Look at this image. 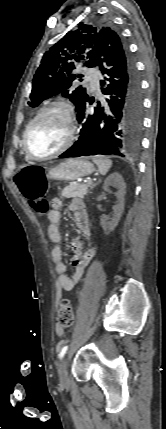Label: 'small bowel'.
Masks as SVG:
<instances>
[{"mask_svg": "<svg viewBox=\"0 0 166 429\" xmlns=\"http://www.w3.org/2000/svg\"><path fill=\"white\" fill-rule=\"evenodd\" d=\"M61 202L58 199L53 201V209L48 212L47 219L49 221L47 233L48 237L53 243L51 249V259L55 264L57 273L56 279V294L57 297L61 296L62 291H69L79 282L84 274V271L90 261L96 254V248L84 250L83 242L80 238H74L71 242V248L74 255L71 259V264L74 268L73 274L69 277L66 275V266L62 262V249L60 246L61 233L59 229L61 214L59 207ZM70 210L74 215V220L78 230L86 237L90 236V223L85 206L80 200H74L70 205ZM64 333L63 328L57 326L56 334L60 337Z\"/></svg>", "mask_w": 166, "mask_h": 429, "instance_id": "obj_1", "label": "small bowel"}]
</instances>
